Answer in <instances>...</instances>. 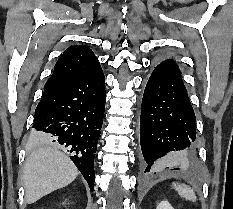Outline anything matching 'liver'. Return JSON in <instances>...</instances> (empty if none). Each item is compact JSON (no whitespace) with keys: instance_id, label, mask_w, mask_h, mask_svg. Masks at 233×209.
Segmentation results:
<instances>
[{"instance_id":"liver-1","label":"liver","mask_w":233,"mask_h":209,"mask_svg":"<svg viewBox=\"0 0 233 209\" xmlns=\"http://www.w3.org/2000/svg\"><path fill=\"white\" fill-rule=\"evenodd\" d=\"M34 136L40 139L44 135L35 132ZM78 174L72 161L57 148L39 146L29 155L24 166L23 185L27 203H35L43 196L67 186Z\"/></svg>"}]
</instances>
